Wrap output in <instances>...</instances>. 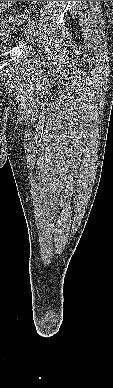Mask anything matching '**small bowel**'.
Listing matches in <instances>:
<instances>
[{
    "label": "small bowel",
    "instance_id": "c3829d8e",
    "mask_svg": "<svg viewBox=\"0 0 113 388\" xmlns=\"http://www.w3.org/2000/svg\"><path fill=\"white\" fill-rule=\"evenodd\" d=\"M14 1H0V12H2L4 9L12 6ZM1 26V32L5 30L6 28L3 27V22L0 23Z\"/></svg>",
    "mask_w": 113,
    "mask_h": 388
}]
</instances>
